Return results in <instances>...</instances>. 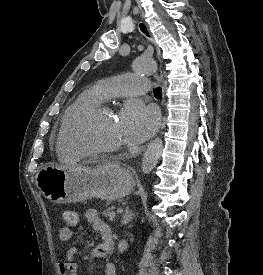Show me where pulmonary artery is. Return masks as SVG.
<instances>
[{
    "instance_id": "obj_1",
    "label": "pulmonary artery",
    "mask_w": 263,
    "mask_h": 275,
    "mask_svg": "<svg viewBox=\"0 0 263 275\" xmlns=\"http://www.w3.org/2000/svg\"><path fill=\"white\" fill-rule=\"evenodd\" d=\"M98 89L104 99L137 96L148 92L149 82L135 74H122L103 80Z\"/></svg>"
}]
</instances>
